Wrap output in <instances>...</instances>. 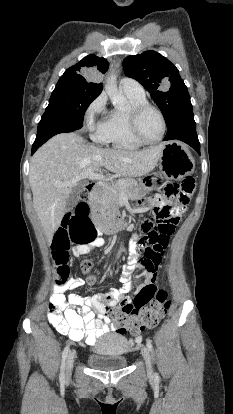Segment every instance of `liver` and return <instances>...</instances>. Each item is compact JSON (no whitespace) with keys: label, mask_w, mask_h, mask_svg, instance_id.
Wrapping results in <instances>:
<instances>
[{"label":"liver","mask_w":233,"mask_h":414,"mask_svg":"<svg viewBox=\"0 0 233 414\" xmlns=\"http://www.w3.org/2000/svg\"><path fill=\"white\" fill-rule=\"evenodd\" d=\"M164 144L140 151L99 148L77 133H60L48 140L30 161L29 183L34 210L48 243L60 226L65 203L77 182L101 167L123 176L140 177L158 163Z\"/></svg>","instance_id":"liver-1"}]
</instances>
